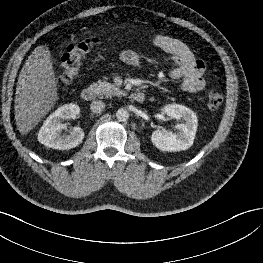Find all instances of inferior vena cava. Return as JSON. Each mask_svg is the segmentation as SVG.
Masks as SVG:
<instances>
[{
  "label": "inferior vena cava",
  "mask_w": 263,
  "mask_h": 263,
  "mask_svg": "<svg viewBox=\"0 0 263 263\" xmlns=\"http://www.w3.org/2000/svg\"><path fill=\"white\" fill-rule=\"evenodd\" d=\"M105 108L104 102L101 100H95L91 103L90 109L94 113H101Z\"/></svg>",
  "instance_id": "obj_1"
}]
</instances>
